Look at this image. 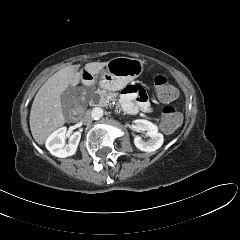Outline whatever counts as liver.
Listing matches in <instances>:
<instances>
[{
    "instance_id": "obj_1",
    "label": "liver",
    "mask_w": 240,
    "mask_h": 240,
    "mask_svg": "<svg viewBox=\"0 0 240 240\" xmlns=\"http://www.w3.org/2000/svg\"><path fill=\"white\" fill-rule=\"evenodd\" d=\"M108 62H92L85 65L90 75L98 74ZM80 65H70L53 74L37 92L30 111V129L34 140L43 145L47 137L66 122L61 95L69 86H76L82 79Z\"/></svg>"
}]
</instances>
